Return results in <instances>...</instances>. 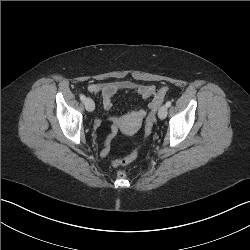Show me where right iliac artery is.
Instances as JSON below:
<instances>
[{
  "instance_id": "1",
  "label": "right iliac artery",
  "mask_w": 250,
  "mask_h": 250,
  "mask_svg": "<svg viewBox=\"0 0 250 250\" xmlns=\"http://www.w3.org/2000/svg\"><path fill=\"white\" fill-rule=\"evenodd\" d=\"M80 99H81L82 101H85V100H86L85 95L81 94V95H80Z\"/></svg>"
}]
</instances>
